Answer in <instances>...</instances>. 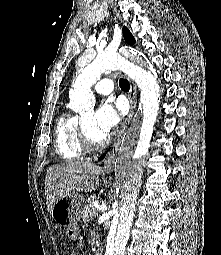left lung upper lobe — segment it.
Segmentation results:
<instances>
[{
    "label": "left lung upper lobe",
    "mask_w": 221,
    "mask_h": 255,
    "mask_svg": "<svg viewBox=\"0 0 221 255\" xmlns=\"http://www.w3.org/2000/svg\"><path fill=\"white\" fill-rule=\"evenodd\" d=\"M123 34H124V39L128 44L133 45L135 43L134 37L125 26L123 27Z\"/></svg>",
    "instance_id": "left-lung-upper-lobe-1"
}]
</instances>
